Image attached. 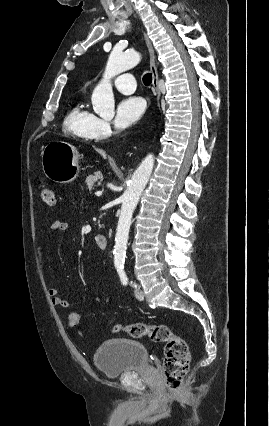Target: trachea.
I'll list each match as a JSON object with an SVG mask.
<instances>
[{
	"instance_id": "3493384b",
	"label": "trachea",
	"mask_w": 269,
	"mask_h": 426,
	"mask_svg": "<svg viewBox=\"0 0 269 426\" xmlns=\"http://www.w3.org/2000/svg\"><path fill=\"white\" fill-rule=\"evenodd\" d=\"M151 82H152V74H151V73H146V74L143 76V83H144L146 86H149V85L151 84Z\"/></svg>"
}]
</instances>
